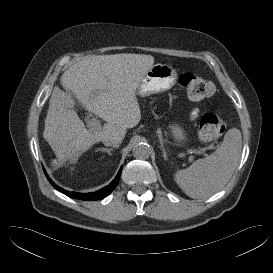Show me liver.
<instances>
[{"label": "liver", "mask_w": 273, "mask_h": 273, "mask_svg": "<svg viewBox=\"0 0 273 273\" xmlns=\"http://www.w3.org/2000/svg\"><path fill=\"white\" fill-rule=\"evenodd\" d=\"M154 57L122 53L88 56L77 61L62 75V85L89 112L106 123L99 130L86 129L73 109L75 102L54 87L43 137L61 162L77 160L83 152L105 138L124 139L128 128L136 126L141 111L136 91Z\"/></svg>", "instance_id": "1"}]
</instances>
